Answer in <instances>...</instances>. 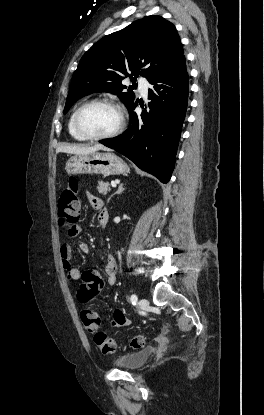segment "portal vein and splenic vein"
<instances>
[{
	"label": "portal vein and splenic vein",
	"mask_w": 264,
	"mask_h": 415,
	"mask_svg": "<svg viewBox=\"0 0 264 415\" xmlns=\"http://www.w3.org/2000/svg\"><path fill=\"white\" fill-rule=\"evenodd\" d=\"M112 187H116V182H111Z\"/></svg>",
	"instance_id": "portal-vein-and-splenic-vein-1"
}]
</instances>
